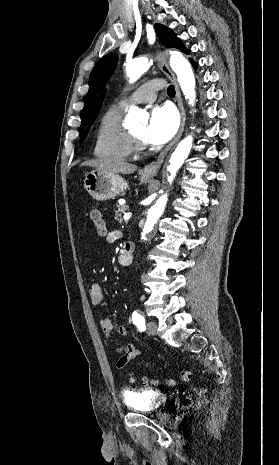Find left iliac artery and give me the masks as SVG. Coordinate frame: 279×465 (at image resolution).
<instances>
[{"instance_id": "obj_1", "label": "left iliac artery", "mask_w": 279, "mask_h": 465, "mask_svg": "<svg viewBox=\"0 0 279 465\" xmlns=\"http://www.w3.org/2000/svg\"><path fill=\"white\" fill-rule=\"evenodd\" d=\"M132 320H133V323L138 327V329L142 332V331H145V318L144 316H142V314H140L139 312L137 311H134L133 314H132Z\"/></svg>"}]
</instances>
